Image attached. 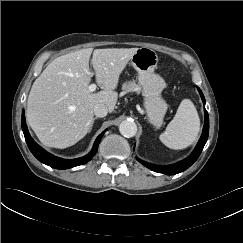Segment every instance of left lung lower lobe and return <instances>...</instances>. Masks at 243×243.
I'll return each mask as SVG.
<instances>
[{
  "label": "left lung lower lobe",
  "instance_id": "obj_1",
  "mask_svg": "<svg viewBox=\"0 0 243 243\" xmlns=\"http://www.w3.org/2000/svg\"><path fill=\"white\" fill-rule=\"evenodd\" d=\"M198 91L201 95L203 103H205V98H204L203 93L201 92V90L199 88H198ZM208 134H209V117H208L207 111L205 110V124H204V128H203L202 136H201L195 150L188 158H186L176 164L168 165V166H155V165L146 163L144 161H140V160L139 161L147 168H149L155 172H158V173L174 175V174L183 172L184 170L189 168L199 157L201 151L203 150L205 143L207 142Z\"/></svg>",
  "mask_w": 243,
  "mask_h": 243
}]
</instances>
